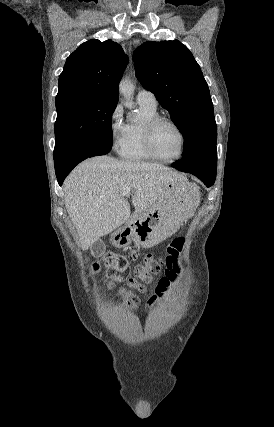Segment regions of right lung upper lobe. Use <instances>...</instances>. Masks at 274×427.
<instances>
[{
  "label": "right lung upper lobe",
  "mask_w": 274,
  "mask_h": 427,
  "mask_svg": "<svg viewBox=\"0 0 274 427\" xmlns=\"http://www.w3.org/2000/svg\"><path fill=\"white\" fill-rule=\"evenodd\" d=\"M128 57L111 40H89L66 60L59 76L56 106L89 98H118V85Z\"/></svg>",
  "instance_id": "obj_1"
}]
</instances>
